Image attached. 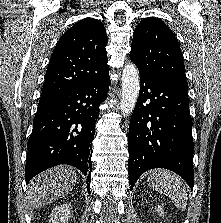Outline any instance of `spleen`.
I'll return each mask as SVG.
<instances>
[{
	"label": "spleen",
	"mask_w": 221,
	"mask_h": 223,
	"mask_svg": "<svg viewBox=\"0 0 221 223\" xmlns=\"http://www.w3.org/2000/svg\"><path fill=\"white\" fill-rule=\"evenodd\" d=\"M148 184L157 192L168 196L177 208L184 211L187 207V193L183 181L166 170H156L148 177Z\"/></svg>",
	"instance_id": "3e777b00"
}]
</instances>
